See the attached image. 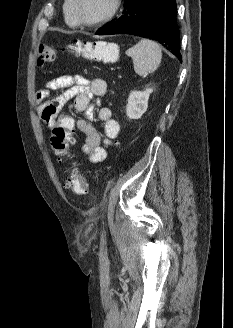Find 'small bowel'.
Returning <instances> with one entry per match:
<instances>
[{
	"instance_id": "obj_1",
	"label": "small bowel",
	"mask_w": 233,
	"mask_h": 328,
	"mask_svg": "<svg viewBox=\"0 0 233 328\" xmlns=\"http://www.w3.org/2000/svg\"><path fill=\"white\" fill-rule=\"evenodd\" d=\"M64 89L57 98L47 101L51 91ZM107 85L103 79H87L82 75H63L46 83L36 93L39 115L42 121L52 129L61 108L70 99H74V108L85 115L75 123L76 128L84 135L82 151L92 163L105 160L107 148L118 136L119 123L113 119L108 107L100 106V99L106 93ZM97 115L103 123L104 137L95 129L91 121Z\"/></svg>"
}]
</instances>
